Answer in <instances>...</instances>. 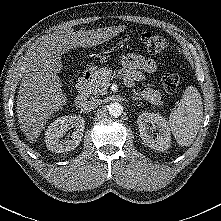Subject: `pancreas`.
<instances>
[{
  "instance_id": "pancreas-1",
  "label": "pancreas",
  "mask_w": 221,
  "mask_h": 221,
  "mask_svg": "<svg viewBox=\"0 0 221 221\" xmlns=\"http://www.w3.org/2000/svg\"><path fill=\"white\" fill-rule=\"evenodd\" d=\"M113 75L111 68H100L92 74L91 81L86 86V92L92 95H104L110 85V80ZM132 93L139 98L160 106L163 104L161 95L158 91L151 88L145 90H132Z\"/></svg>"
}]
</instances>
